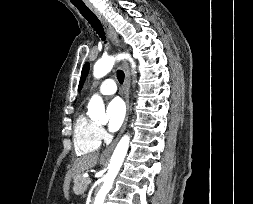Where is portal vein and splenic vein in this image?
I'll use <instances>...</instances> for the list:
<instances>
[{"mask_svg":"<svg viewBox=\"0 0 253 204\" xmlns=\"http://www.w3.org/2000/svg\"><path fill=\"white\" fill-rule=\"evenodd\" d=\"M92 182L91 178H87V184H90Z\"/></svg>","mask_w":253,"mask_h":204,"instance_id":"18ae733b","label":"portal vein and splenic vein"}]
</instances>
